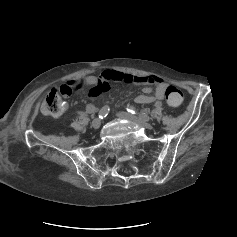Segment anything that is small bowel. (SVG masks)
<instances>
[{"label": "small bowel", "instance_id": "1", "mask_svg": "<svg viewBox=\"0 0 237 237\" xmlns=\"http://www.w3.org/2000/svg\"><path fill=\"white\" fill-rule=\"evenodd\" d=\"M121 81L127 84L144 85L143 94L136 97V102L140 104H149L157 100H163L167 88L165 81L155 75H134L123 73L117 70H105L99 75H90L79 79L68 81L63 87L70 92L90 87V97L96 100L101 94L110 89V82ZM94 112L93 105L87 107V113Z\"/></svg>", "mask_w": 237, "mask_h": 237}]
</instances>
